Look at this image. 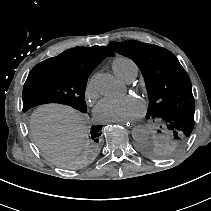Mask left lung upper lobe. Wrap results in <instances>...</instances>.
<instances>
[{
	"instance_id": "5c2ea615",
	"label": "left lung upper lobe",
	"mask_w": 211,
	"mask_h": 211,
	"mask_svg": "<svg viewBox=\"0 0 211 211\" xmlns=\"http://www.w3.org/2000/svg\"><path fill=\"white\" fill-rule=\"evenodd\" d=\"M111 51L132 59L141 70L148 95L146 118L157 126L139 150L151 158L177 154L194 127L195 100L186 71L173 53L157 45L126 41L108 45Z\"/></svg>"
}]
</instances>
